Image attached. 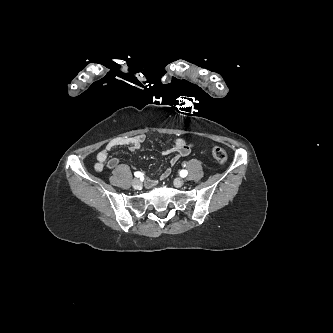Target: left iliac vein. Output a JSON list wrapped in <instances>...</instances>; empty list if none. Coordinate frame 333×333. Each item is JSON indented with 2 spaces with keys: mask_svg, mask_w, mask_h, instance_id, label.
Instances as JSON below:
<instances>
[{
  "mask_svg": "<svg viewBox=\"0 0 333 333\" xmlns=\"http://www.w3.org/2000/svg\"><path fill=\"white\" fill-rule=\"evenodd\" d=\"M173 184L175 187H181L184 185V180L181 178H176L174 179Z\"/></svg>",
  "mask_w": 333,
  "mask_h": 333,
  "instance_id": "1",
  "label": "left iliac vein"
}]
</instances>
